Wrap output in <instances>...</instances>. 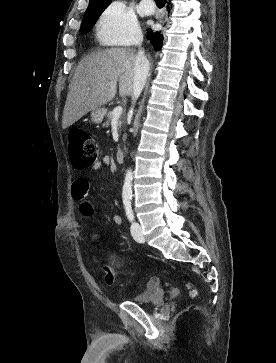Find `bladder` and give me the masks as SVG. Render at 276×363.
Masks as SVG:
<instances>
[{"label": "bladder", "mask_w": 276, "mask_h": 363, "mask_svg": "<svg viewBox=\"0 0 276 363\" xmlns=\"http://www.w3.org/2000/svg\"><path fill=\"white\" fill-rule=\"evenodd\" d=\"M165 297V288L157 285H149L142 293L132 299L134 303L146 306H158Z\"/></svg>", "instance_id": "bladder-1"}]
</instances>
